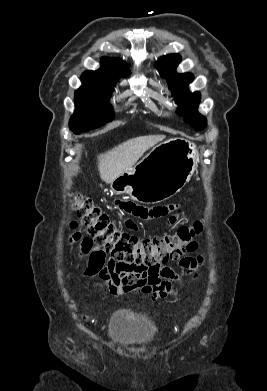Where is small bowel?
<instances>
[{
    "instance_id": "1",
    "label": "small bowel",
    "mask_w": 267,
    "mask_h": 391,
    "mask_svg": "<svg viewBox=\"0 0 267 391\" xmlns=\"http://www.w3.org/2000/svg\"><path fill=\"white\" fill-rule=\"evenodd\" d=\"M116 208L134 217L142 219H157L169 217L168 223L173 224L176 220L171 213L177 208L176 205L155 206L147 208L131 201H116ZM127 228L135 231L137 225L132 219H126ZM73 229L76 224H73ZM80 238L74 233L71 241ZM81 254H87L81 248ZM203 257L186 258L180 265L188 271L195 270L202 262ZM87 276H99L109 291L115 295L143 294L151 301H160L174 294L173 282L178 281V276L168 267H161L154 271H147L139 266L124 265L112 259L106 260L101 252L90 253Z\"/></svg>"
}]
</instances>
